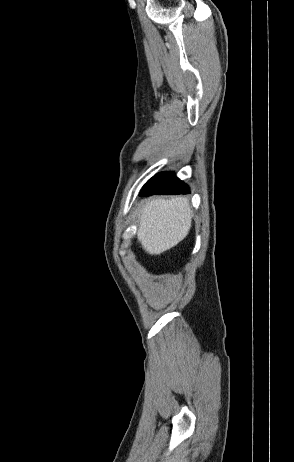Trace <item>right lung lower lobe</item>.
I'll return each mask as SVG.
<instances>
[{"instance_id":"obj_1","label":"right lung lower lobe","mask_w":294,"mask_h":462,"mask_svg":"<svg viewBox=\"0 0 294 462\" xmlns=\"http://www.w3.org/2000/svg\"><path fill=\"white\" fill-rule=\"evenodd\" d=\"M189 188L171 172H162L151 178L142 188L140 196L153 194H187Z\"/></svg>"}]
</instances>
